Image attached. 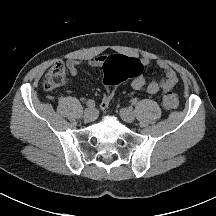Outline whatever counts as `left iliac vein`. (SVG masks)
Returning a JSON list of instances; mask_svg holds the SVG:
<instances>
[{"instance_id":"obj_1","label":"left iliac vein","mask_w":216,"mask_h":216,"mask_svg":"<svg viewBox=\"0 0 216 216\" xmlns=\"http://www.w3.org/2000/svg\"><path fill=\"white\" fill-rule=\"evenodd\" d=\"M119 114L122 120L127 123H132L135 120L134 112L131 109L122 108Z\"/></svg>"}]
</instances>
